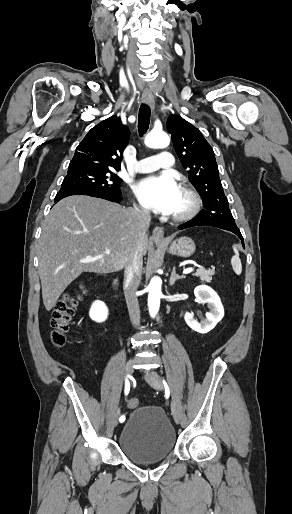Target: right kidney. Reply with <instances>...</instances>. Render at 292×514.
<instances>
[{
  "instance_id": "right-kidney-1",
  "label": "right kidney",
  "mask_w": 292,
  "mask_h": 514,
  "mask_svg": "<svg viewBox=\"0 0 292 514\" xmlns=\"http://www.w3.org/2000/svg\"><path fill=\"white\" fill-rule=\"evenodd\" d=\"M89 316L91 320H95V322H105L108 318V308L104 302H99V300H96V302H93Z\"/></svg>"
}]
</instances>
